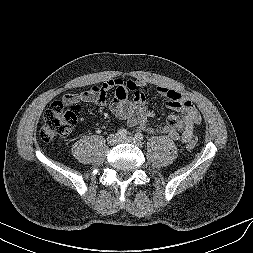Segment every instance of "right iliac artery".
<instances>
[{"label":"right iliac artery","instance_id":"obj_1","mask_svg":"<svg viewBox=\"0 0 253 253\" xmlns=\"http://www.w3.org/2000/svg\"><path fill=\"white\" fill-rule=\"evenodd\" d=\"M127 134H128V132H127V130L124 129V128L119 129L118 132H117V135H118L119 137H121V138H122V137H125Z\"/></svg>","mask_w":253,"mask_h":253}]
</instances>
